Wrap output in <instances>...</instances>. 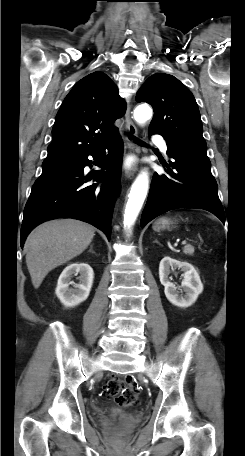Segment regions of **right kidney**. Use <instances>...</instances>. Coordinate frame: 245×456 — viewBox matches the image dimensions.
I'll return each instance as SVG.
<instances>
[{
  "instance_id": "1",
  "label": "right kidney",
  "mask_w": 245,
  "mask_h": 456,
  "mask_svg": "<svg viewBox=\"0 0 245 456\" xmlns=\"http://www.w3.org/2000/svg\"><path fill=\"white\" fill-rule=\"evenodd\" d=\"M80 274L78 284L71 281V278ZM94 272L90 265L86 263H72L61 273L56 295L61 303L66 307H74L85 301L90 293L93 284ZM73 285V288L70 287Z\"/></svg>"
}]
</instances>
